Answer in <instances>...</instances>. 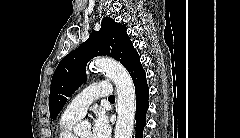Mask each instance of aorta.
<instances>
[{
	"label": "aorta",
	"mask_w": 240,
	"mask_h": 138,
	"mask_svg": "<svg viewBox=\"0 0 240 138\" xmlns=\"http://www.w3.org/2000/svg\"><path fill=\"white\" fill-rule=\"evenodd\" d=\"M91 69L101 70L113 81L117 92V124L114 138H132L136 111V94L133 80L119 62L109 58H98L91 62ZM88 126L83 121L78 129Z\"/></svg>",
	"instance_id": "aorta-1"
}]
</instances>
